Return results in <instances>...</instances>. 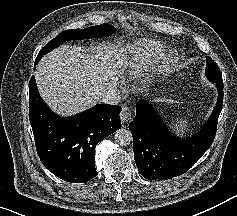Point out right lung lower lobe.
Listing matches in <instances>:
<instances>
[{"instance_id":"1","label":"right lung lower lobe","mask_w":237,"mask_h":216,"mask_svg":"<svg viewBox=\"0 0 237 216\" xmlns=\"http://www.w3.org/2000/svg\"><path fill=\"white\" fill-rule=\"evenodd\" d=\"M121 110L101 104L79 115L59 117L41 99L34 75L29 82V119L38 156L50 172L67 182L85 183L97 175L95 147L121 128Z\"/></svg>"}]
</instances>
